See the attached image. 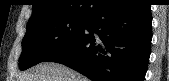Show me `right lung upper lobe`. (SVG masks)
<instances>
[{
	"instance_id": "right-lung-upper-lobe-1",
	"label": "right lung upper lobe",
	"mask_w": 169,
	"mask_h": 81,
	"mask_svg": "<svg viewBox=\"0 0 169 81\" xmlns=\"http://www.w3.org/2000/svg\"><path fill=\"white\" fill-rule=\"evenodd\" d=\"M33 12L28 23L56 16H89L106 0H33Z\"/></svg>"
}]
</instances>
